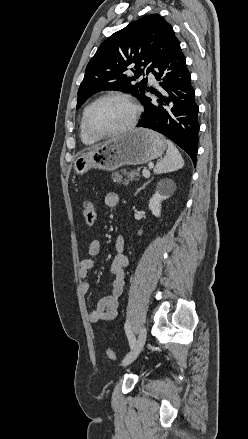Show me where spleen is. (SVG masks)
<instances>
[{"label":"spleen","instance_id":"spleen-1","mask_svg":"<svg viewBox=\"0 0 248 439\" xmlns=\"http://www.w3.org/2000/svg\"><path fill=\"white\" fill-rule=\"evenodd\" d=\"M167 145L166 155L154 168L156 174L173 172L184 166V160L176 146L169 140L167 141Z\"/></svg>","mask_w":248,"mask_h":439}]
</instances>
